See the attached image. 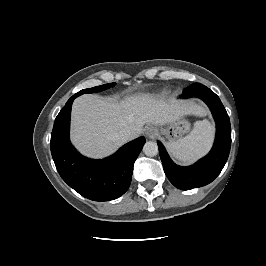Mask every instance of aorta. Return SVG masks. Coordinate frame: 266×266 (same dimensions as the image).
Listing matches in <instances>:
<instances>
[{"instance_id": "762f6f07", "label": "aorta", "mask_w": 266, "mask_h": 266, "mask_svg": "<svg viewBox=\"0 0 266 266\" xmlns=\"http://www.w3.org/2000/svg\"><path fill=\"white\" fill-rule=\"evenodd\" d=\"M143 152L146 156H156L158 154V145L154 141L146 142L143 146Z\"/></svg>"}]
</instances>
